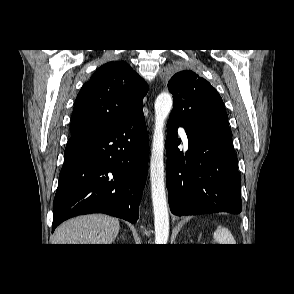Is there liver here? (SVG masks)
I'll use <instances>...</instances> for the list:
<instances>
[{
  "label": "liver",
  "mask_w": 294,
  "mask_h": 294,
  "mask_svg": "<svg viewBox=\"0 0 294 294\" xmlns=\"http://www.w3.org/2000/svg\"><path fill=\"white\" fill-rule=\"evenodd\" d=\"M119 220L103 214L83 215L62 223L54 233V244H112Z\"/></svg>",
  "instance_id": "6515ba94"
}]
</instances>
